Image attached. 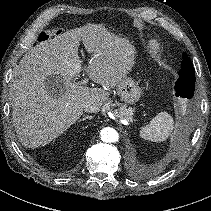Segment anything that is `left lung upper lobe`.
Segmentation results:
<instances>
[{
	"mask_svg": "<svg viewBox=\"0 0 211 211\" xmlns=\"http://www.w3.org/2000/svg\"><path fill=\"white\" fill-rule=\"evenodd\" d=\"M195 70L188 55L183 53V60L179 72V78L176 81V96L192 99L195 90Z\"/></svg>",
	"mask_w": 211,
	"mask_h": 211,
	"instance_id": "left-lung-upper-lobe-1",
	"label": "left lung upper lobe"
}]
</instances>
